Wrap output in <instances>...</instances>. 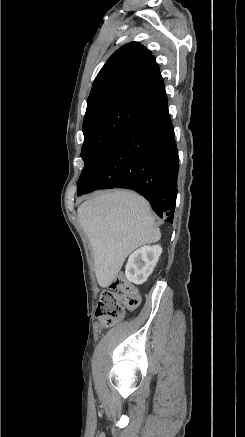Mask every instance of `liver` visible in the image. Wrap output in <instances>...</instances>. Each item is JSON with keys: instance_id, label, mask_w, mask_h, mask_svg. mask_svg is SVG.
<instances>
[{"instance_id": "1", "label": "liver", "mask_w": 245, "mask_h": 437, "mask_svg": "<svg viewBox=\"0 0 245 437\" xmlns=\"http://www.w3.org/2000/svg\"><path fill=\"white\" fill-rule=\"evenodd\" d=\"M77 212L93 250L97 282L103 288L114 281L133 250L161 237L149 203L131 191L100 193L83 202Z\"/></svg>"}]
</instances>
